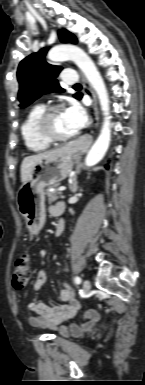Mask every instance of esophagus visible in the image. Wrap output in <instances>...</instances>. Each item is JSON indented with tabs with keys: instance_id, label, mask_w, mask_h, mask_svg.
Segmentation results:
<instances>
[{
	"instance_id": "obj_1",
	"label": "esophagus",
	"mask_w": 145,
	"mask_h": 385,
	"mask_svg": "<svg viewBox=\"0 0 145 385\" xmlns=\"http://www.w3.org/2000/svg\"><path fill=\"white\" fill-rule=\"evenodd\" d=\"M82 81L85 85L86 88H88L90 91H91V94H92V97H93V111H94V115H95V127L97 126V122H98V108H97V99H96V95L94 93V91L92 90V88L90 87V85L88 84L87 80L85 79V77L82 75Z\"/></svg>"
}]
</instances>
